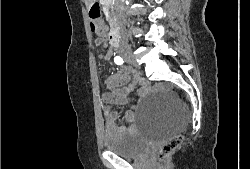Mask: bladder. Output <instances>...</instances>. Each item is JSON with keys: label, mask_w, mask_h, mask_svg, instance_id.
<instances>
[{"label": "bladder", "mask_w": 250, "mask_h": 169, "mask_svg": "<svg viewBox=\"0 0 250 169\" xmlns=\"http://www.w3.org/2000/svg\"><path fill=\"white\" fill-rule=\"evenodd\" d=\"M102 143L106 151H113L120 157L136 158L141 153L150 150L142 133H108L102 136Z\"/></svg>", "instance_id": "bladder-1"}]
</instances>
